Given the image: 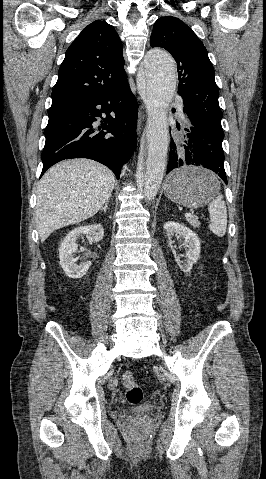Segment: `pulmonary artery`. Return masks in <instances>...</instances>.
Here are the masks:
<instances>
[{
	"instance_id": "1",
	"label": "pulmonary artery",
	"mask_w": 266,
	"mask_h": 479,
	"mask_svg": "<svg viewBox=\"0 0 266 479\" xmlns=\"http://www.w3.org/2000/svg\"><path fill=\"white\" fill-rule=\"evenodd\" d=\"M180 116L183 117V113H182L181 109H180Z\"/></svg>"
}]
</instances>
